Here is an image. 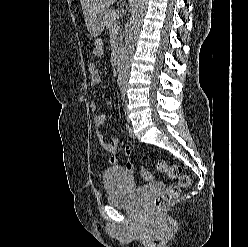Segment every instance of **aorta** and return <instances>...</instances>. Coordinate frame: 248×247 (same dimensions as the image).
Returning <instances> with one entry per match:
<instances>
[{
  "label": "aorta",
  "mask_w": 248,
  "mask_h": 247,
  "mask_svg": "<svg viewBox=\"0 0 248 247\" xmlns=\"http://www.w3.org/2000/svg\"><path fill=\"white\" fill-rule=\"evenodd\" d=\"M147 2L148 0H132L130 25L125 38V47L119 68L118 84L120 87H125L128 82L130 63L136 47Z\"/></svg>",
  "instance_id": "obj_1"
}]
</instances>
